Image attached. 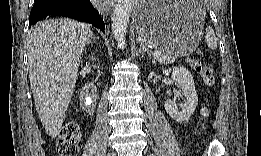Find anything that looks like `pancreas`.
Masks as SVG:
<instances>
[{
  "label": "pancreas",
  "mask_w": 261,
  "mask_h": 156,
  "mask_svg": "<svg viewBox=\"0 0 261 156\" xmlns=\"http://www.w3.org/2000/svg\"><path fill=\"white\" fill-rule=\"evenodd\" d=\"M162 51V50H161ZM177 56L172 52H164L162 51V55L158 58L160 63H172L176 60Z\"/></svg>",
  "instance_id": "obj_1"
}]
</instances>
